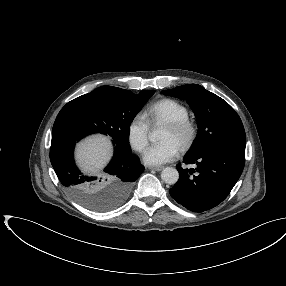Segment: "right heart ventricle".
Listing matches in <instances>:
<instances>
[{
    "instance_id": "right-heart-ventricle-1",
    "label": "right heart ventricle",
    "mask_w": 286,
    "mask_h": 286,
    "mask_svg": "<svg viewBox=\"0 0 286 286\" xmlns=\"http://www.w3.org/2000/svg\"><path fill=\"white\" fill-rule=\"evenodd\" d=\"M146 116L152 124L166 123L171 120L189 117L188 108L181 102L165 98L147 107Z\"/></svg>"
}]
</instances>
